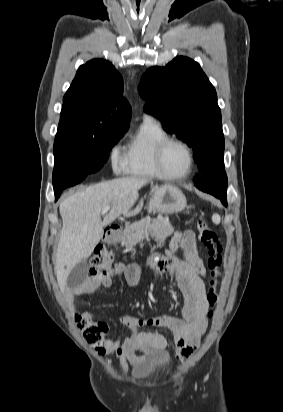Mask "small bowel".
Here are the masks:
<instances>
[{"label": "small bowel", "mask_w": 283, "mask_h": 412, "mask_svg": "<svg viewBox=\"0 0 283 412\" xmlns=\"http://www.w3.org/2000/svg\"><path fill=\"white\" fill-rule=\"evenodd\" d=\"M176 250L182 253V258L173 254ZM159 257L166 258L167 262L164 265L156 263ZM149 264L161 274H169L174 279L183 296V318L144 319L134 315L120 317L121 325L130 330L131 334L124 339H108L106 349L108 353H114L122 363L129 364L136 372H140L151 357L166 355L168 346L163 334L152 331L136 333V329L153 326L168 328L172 333V341L178 348L177 356L185 358L198 344L208 325L209 304L204 284L206 270L198 254L194 232L186 230L175 234L169 252L164 256H151ZM116 276H123L133 288L139 287L142 283L141 271L137 265L120 263L112 275L102 279H88L81 286L71 290V297L91 296L98 289L110 287ZM80 315L93 317L88 311H83Z\"/></svg>", "instance_id": "1"}]
</instances>
